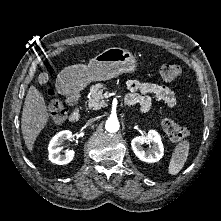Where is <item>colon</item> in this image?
Listing matches in <instances>:
<instances>
[{"instance_id":"colon-1","label":"colon","mask_w":221,"mask_h":221,"mask_svg":"<svg viewBox=\"0 0 221 221\" xmlns=\"http://www.w3.org/2000/svg\"><path fill=\"white\" fill-rule=\"evenodd\" d=\"M181 72V67L178 64H167L160 69L162 79L167 82L176 81L180 77ZM46 99L51 123L54 125L62 124L67 117V109L55 97L53 91L47 93ZM162 127L168 138L172 141L183 140L190 133L187 127L177 124L170 118L162 120Z\"/></svg>"}]
</instances>
